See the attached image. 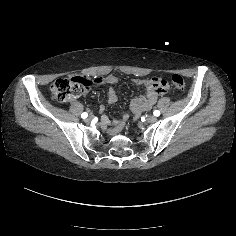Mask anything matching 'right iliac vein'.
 I'll use <instances>...</instances> for the list:
<instances>
[{
  "label": "right iliac vein",
  "mask_w": 236,
  "mask_h": 236,
  "mask_svg": "<svg viewBox=\"0 0 236 236\" xmlns=\"http://www.w3.org/2000/svg\"><path fill=\"white\" fill-rule=\"evenodd\" d=\"M93 117L92 115L88 116L87 119H86V122L90 123L92 121Z\"/></svg>",
  "instance_id": "1"
}]
</instances>
